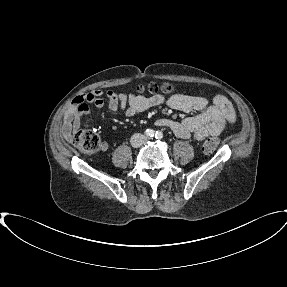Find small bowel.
Returning <instances> with one entry per match:
<instances>
[{
	"instance_id": "c3829d8e",
	"label": "small bowel",
	"mask_w": 287,
	"mask_h": 287,
	"mask_svg": "<svg viewBox=\"0 0 287 287\" xmlns=\"http://www.w3.org/2000/svg\"><path fill=\"white\" fill-rule=\"evenodd\" d=\"M102 94V91L95 90L73 98L61 126V133L65 139L70 140L79 129L81 118L91 113L90 105L96 107L103 105ZM106 96L111 111L122 109L128 117L136 116L163 103L183 112H198V114L187 117L182 121L169 118L157 120V125L171 129L177 137L182 139L202 141L208 136L219 135L228 123L236 121V113L231 102L222 95L209 99L207 97L178 94L165 99L159 94L145 97L107 91ZM101 149L103 151L107 150L108 145L103 143Z\"/></svg>"
}]
</instances>
